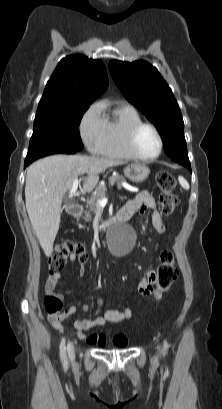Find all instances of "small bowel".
Wrapping results in <instances>:
<instances>
[{"instance_id": "1", "label": "small bowel", "mask_w": 222, "mask_h": 409, "mask_svg": "<svg viewBox=\"0 0 222 409\" xmlns=\"http://www.w3.org/2000/svg\"><path fill=\"white\" fill-rule=\"evenodd\" d=\"M123 210L128 211L132 214L139 211L143 214L146 210H151L152 212V226L154 230L158 233H164L166 228L161 220L159 213L156 210V204L154 198L147 192L143 191L136 195L134 199L129 201L123 208ZM77 257L72 255L70 257L71 262H75ZM86 272V268L83 263H80L79 275L83 276ZM148 274V276H147ZM147 274L141 279L138 284V294L140 297L153 296L154 290L152 286L158 283L157 278L159 277L158 271L156 269H149ZM61 280V274H51L48 276L45 282V291L49 295H54L60 299H63V295L57 291V286ZM162 297V293L158 292L156 295V300L159 301ZM103 301L101 298H97L96 305L94 306L92 313L86 317H80L74 321L75 334L80 339H84L88 344L96 346L99 348H124L127 345L124 336H116L111 340H108L106 336L102 333H92L87 335L85 332L96 327H103L109 323H120L126 319H131L135 317L131 310L124 308L121 310H108L102 314ZM71 310H75L72 307ZM65 316L49 315L48 320L51 325L60 330L64 331V326L62 324Z\"/></svg>"}]
</instances>
